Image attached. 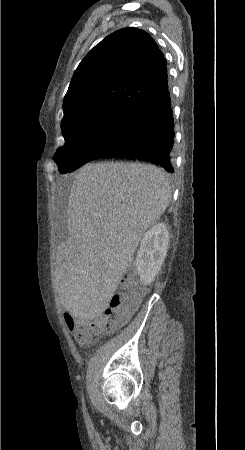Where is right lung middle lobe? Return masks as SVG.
Returning a JSON list of instances; mask_svg holds the SVG:
<instances>
[{
    "label": "right lung middle lobe",
    "mask_w": 245,
    "mask_h": 450,
    "mask_svg": "<svg viewBox=\"0 0 245 450\" xmlns=\"http://www.w3.org/2000/svg\"><path fill=\"white\" fill-rule=\"evenodd\" d=\"M135 109L115 103L82 108L61 122L65 144L53 159L59 171L80 168L98 152H105L120 140Z\"/></svg>",
    "instance_id": "dd1d6c3e"
}]
</instances>
